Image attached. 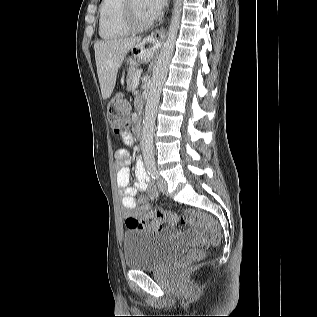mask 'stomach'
Wrapping results in <instances>:
<instances>
[{"instance_id": "0dacf381", "label": "stomach", "mask_w": 317, "mask_h": 317, "mask_svg": "<svg viewBox=\"0 0 317 317\" xmlns=\"http://www.w3.org/2000/svg\"><path fill=\"white\" fill-rule=\"evenodd\" d=\"M140 65V56L139 55H126L125 56V65L123 68H118L117 72L114 73V87L116 91H126L128 87V83L130 82L127 80V77L133 72V66Z\"/></svg>"}]
</instances>
